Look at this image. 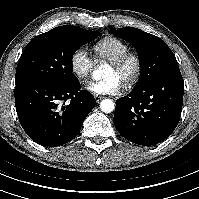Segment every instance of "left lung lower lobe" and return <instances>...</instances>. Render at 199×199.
Wrapping results in <instances>:
<instances>
[{
    "mask_svg": "<svg viewBox=\"0 0 199 199\" xmlns=\"http://www.w3.org/2000/svg\"><path fill=\"white\" fill-rule=\"evenodd\" d=\"M184 82L180 70L162 74L116 101L114 125L127 140L151 146L176 128L182 111Z\"/></svg>",
    "mask_w": 199,
    "mask_h": 199,
    "instance_id": "0a47b994",
    "label": "left lung lower lobe"
}]
</instances>
